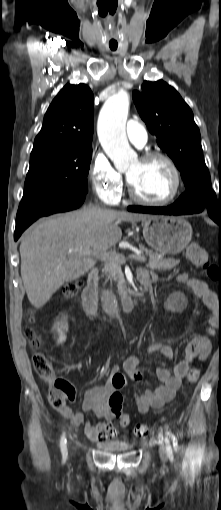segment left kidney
Listing matches in <instances>:
<instances>
[{
    "label": "left kidney",
    "instance_id": "1",
    "mask_svg": "<svg viewBox=\"0 0 221 510\" xmlns=\"http://www.w3.org/2000/svg\"><path fill=\"white\" fill-rule=\"evenodd\" d=\"M187 306V299L183 293H173L164 303V307L168 311L181 312Z\"/></svg>",
    "mask_w": 221,
    "mask_h": 510
}]
</instances>
